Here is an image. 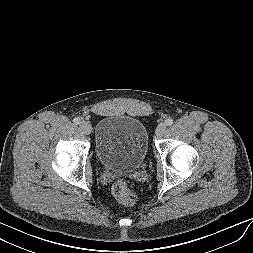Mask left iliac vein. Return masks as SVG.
I'll return each instance as SVG.
<instances>
[{
  "label": "left iliac vein",
  "mask_w": 253,
  "mask_h": 253,
  "mask_svg": "<svg viewBox=\"0 0 253 253\" xmlns=\"http://www.w3.org/2000/svg\"><path fill=\"white\" fill-rule=\"evenodd\" d=\"M166 131V125L164 123H160L156 130H155V134L157 137H161Z\"/></svg>",
  "instance_id": "4c4485c4"
}]
</instances>
